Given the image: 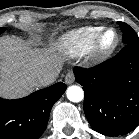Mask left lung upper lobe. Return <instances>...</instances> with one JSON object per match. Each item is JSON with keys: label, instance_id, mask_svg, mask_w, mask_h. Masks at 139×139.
I'll use <instances>...</instances> for the list:
<instances>
[{"label": "left lung upper lobe", "instance_id": "left-lung-upper-lobe-1", "mask_svg": "<svg viewBox=\"0 0 139 139\" xmlns=\"http://www.w3.org/2000/svg\"><path fill=\"white\" fill-rule=\"evenodd\" d=\"M120 28L123 32V42L124 44H128L133 41H139V37L136 32L126 23L118 22Z\"/></svg>", "mask_w": 139, "mask_h": 139}]
</instances>
